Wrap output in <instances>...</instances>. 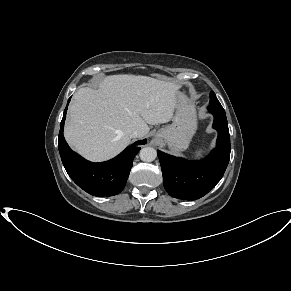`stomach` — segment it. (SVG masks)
<instances>
[{
	"label": "stomach",
	"mask_w": 291,
	"mask_h": 291,
	"mask_svg": "<svg viewBox=\"0 0 291 291\" xmlns=\"http://www.w3.org/2000/svg\"><path fill=\"white\" fill-rule=\"evenodd\" d=\"M197 129V116L193 102L183 93L178 92L173 123L161 128L155 137L165 142L173 152L184 151Z\"/></svg>",
	"instance_id": "0dacf381"
}]
</instances>
